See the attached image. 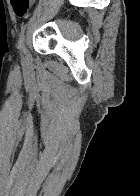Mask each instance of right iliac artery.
Listing matches in <instances>:
<instances>
[{"label":"right iliac artery","instance_id":"obj_1","mask_svg":"<svg viewBox=\"0 0 140 196\" xmlns=\"http://www.w3.org/2000/svg\"><path fill=\"white\" fill-rule=\"evenodd\" d=\"M19 47H20V49H21L23 52L26 51L25 44H24V30H22V32H21V34H20Z\"/></svg>","mask_w":140,"mask_h":196}]
</instances>
